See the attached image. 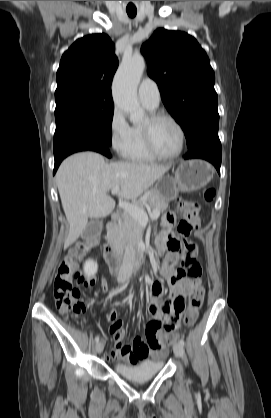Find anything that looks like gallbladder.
Masks as SVG:
<instances>
[{
	"instance_id": "obj_1",
	"label": "gallbladder",
	"mask_w": 271,
	"mask_h": 418,
	"mask_svg": "<svg viewBox=\"0 0 271 418\" xmlns=\"http://www.w3.org/2000/svg\"><path fill=\"white\" fill-rule=\"evenodd\" d=\"M100 225H101L100 220L95 218L90 223L88 233L97 235L100 231Z\"/></svg>"
}]
</instances>
